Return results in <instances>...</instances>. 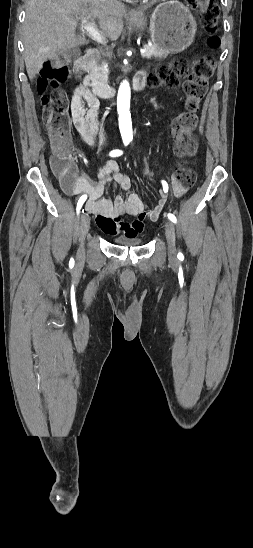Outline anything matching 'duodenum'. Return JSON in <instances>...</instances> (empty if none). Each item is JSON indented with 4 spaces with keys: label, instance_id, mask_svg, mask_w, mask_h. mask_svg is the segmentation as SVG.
I'll use <instances>...</instances> for the list:
<instances>
[{
    "label": "duodenum",
    "instance_id": "obj_1",
    "mask_svg": "<svg viewBox=\"0 0 253 548\" xmlns=\"http://www.w3.org/2000/svg\"><path fill=\"white\" fill-rule=\"evenodd\" d=\"M99 55L97 49H89L83 56L79 57L74 63V72L79 75L83 72ZM145 80L143 75H138L133 81V88L135 90H141L144 86ZM93 92L101 98H112L116 94V89L106 85L93 86Z\"/></svg>",
    "mask_w": 253,
    "mask_h": 548
}]
</instances>
